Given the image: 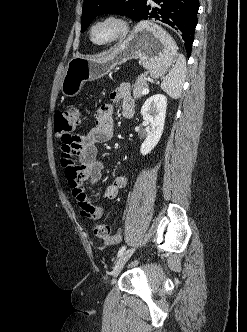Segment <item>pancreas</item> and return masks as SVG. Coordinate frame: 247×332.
I'll return each instance as SVG.
<instances>
[{
	"mask_svg": "<svg viewBox=\"0 0 247 332\" xmlns=\"http://www.w3.org/2000/svg\"><path fill=\"white\" fill-rule=\"evenodd\" d=\"M147 87H148V85L146 82V77L144 75L139 76L133 86L134 99H138V98L142 97V91Z\"/></svg>",
	"mask_w": 247,
	"mask_h": 332,
	"instance_id": "obj_1",
	"label": "pancreas"
}]
</instances>
